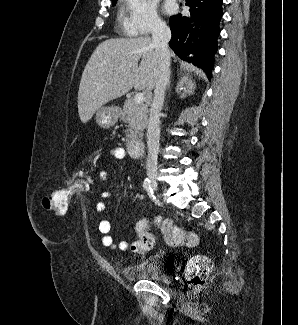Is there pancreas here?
Segmentation results:
<instances>
[{
	"label": "pancreas",
	"instance_id": "cf45deb5",
	"mask_svg": "<svg viewBox=\"0 0 298 325\" xmlns=\"http://www.w3.org/2000/svg\"><path fill=\"white\" fill-rule=\"evenodd\" d=\"M148 104H137L134 98H127L124 102L123 112H121L120 120L128 122L125 130L126 144L134 142L137 138H142L143 130L148 124Z\"/></svg>",
	"mask_w": 298,
	"mask_h": 325
}]
</instances>
